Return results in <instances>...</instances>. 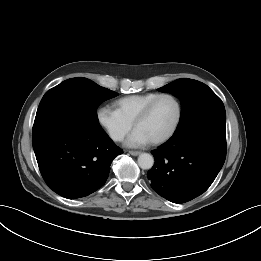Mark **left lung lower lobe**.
<instances>
[{"label":"left lung lower lobe","instance_id":"left-lung-lower-lobe-1","mask_svg":"<svg viewBox=\"0 0 261 261\" xmlns=\"http://www.w3.org/2000/svg\"><path fill=\"white\" fill-rule=\"evenodd\" d=\"M152 154L155 164L147 172L151 187L173 203L190 201L209 188L224 164L226 122L172 136Z\"/></svg>","mask_w":261,"mask_h":261}]
</instances>
